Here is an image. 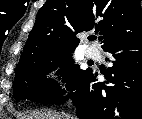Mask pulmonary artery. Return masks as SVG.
<instances>
[{"mask_svg": "<svg viewBox=\"0 0 142 119\" xmlns=\"http://www.w3.org/2000/svg\"><path fill=\"white\" fill-rule=\"evenodd\" d=\"M85 54L88 58H91V59H99L100 58L99 50L94 46H90V47L86 48Z\"/></svg>", "mask_w": 142, "mask_h": 119, "instance_id": "pulmonary-artery-1", "label": "pulmonary artery"}]
</instances>
